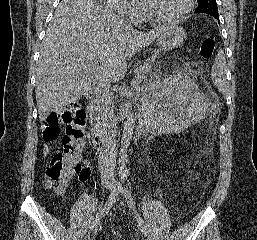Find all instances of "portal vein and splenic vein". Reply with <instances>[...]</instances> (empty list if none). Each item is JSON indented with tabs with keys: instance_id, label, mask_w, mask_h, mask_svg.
<instances>
[{
	"instance_id": "obj_1",
	"label": "portal vein and splenic vein",
	"mask_w": 257,
	"mask_h": 240,
	"mask_svg": "<svg viewBox=\"0 0 257 240\" xmlns=\"http://www.w3.org/2000/svg\"><path fill=\"white\" fill-rule=\"evenodd\" d=\"M85 70L86 71H89V72H94V73H96L97 71H98V66L97 65H87L86 67H85ZM99 80H98V82H99V85L102 87V88H104V89H106V90H109V88H110V85L109 84H107V82L106 81H104L103 79H101L100 77H98L97 75H95ZM135 82V80H133V83Z\"/></svg>"
}]
</instances>
